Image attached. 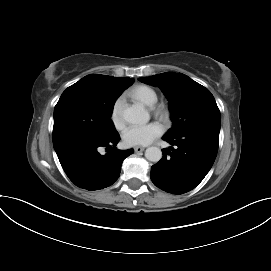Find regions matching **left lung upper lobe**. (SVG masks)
I'll list each match as a JSON object with an SVG mask.
<instances>
[{
  "instance_id": "obj_1",
  "label": "left lung upper lobe",
  "mask_w": 271,
  "mask_h": 271,
  "mask_svg": "<svg viewBox=\"0 0 271 271\" xmlns=\"http://www.w3.org/2000/svg\"><path fill=\"white\" fill-rule=\"evenodd\" d=\"M139 80L158 86L169 100L173 127L165 136L173 137L198 129L220 130V111L213 95L188 76L166 72Z\"/></svg>"
}]
</instances>
